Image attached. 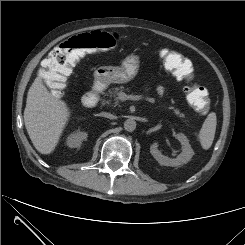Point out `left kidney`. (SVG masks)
Wrapping results in <instances>:
<instances>
[{
	"instance_id": "5707ae66",
	"label": "left kidney",
	"mask_w": 245,
	"mask_h": 245,
	"mask_svg": "<svg viewBox=\"0 0 245 245\" xmlns=\"http://www.w3.org/2000/svg\"><path fill=\"white\" fill-rule=\"evenodd\" d=\"M176 138L182 145V152L176 158H169L167 156H164L158 150L157 143H153L150 146V153L153 155V157L157 160V162L160 165L174 167L189 162L193 157L194 151L189 144L188 138L183 133L177 134Z\"/></svg>"
}]
</instances>
